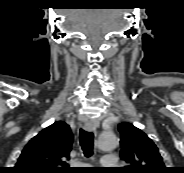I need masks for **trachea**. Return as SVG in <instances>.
<instances>
[{
    "mask_svg": "<svg viewBox=\"0 0 184 173\" xmlns=\"http://www.w3.org/2000/svg\"><path fill=\"white\" fill-rule=\"evenodd\" d=\"M93 137L94 135L92 132L83 129L80 130L79 142L86 157H90L93 154Z\"/></svg>",
    "mask_w": 184,
    "mask_h": 173,
    "instance_id": "1",
    "label": "trachea"
}]
</instances>
